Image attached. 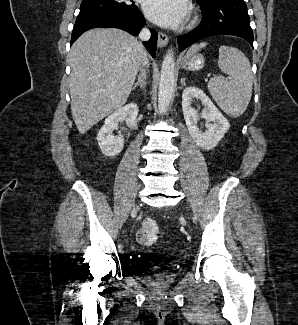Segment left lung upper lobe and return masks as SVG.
I'll return each mask as SVG.
<instances>
[{"label": "left lung upper lobe", "mask_w": 298, "mask_h": 325, "mask_svg": "<svg viewBox=\"0 0 298 325\" xmlns=\"http://www.w3.org/2000/svg\"><path fill=\"white\" fill-rule=\"evenodd\" d=\"M201 6L207 5L211 2H214L216 0H196Z\"/></svg>", "instance_id": "obj_1"}]
</instances>
